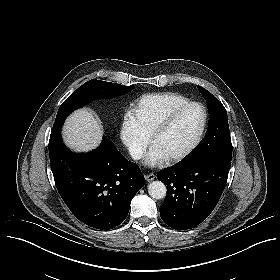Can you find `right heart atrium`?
<instances>
[{"label":"right heart atrium","instance_id":"obj_1","mask_svg":"<svg viewBox=\"0 0 280 280\" xmlns=\"http://www.w3.org/2000/svg\"><path fill=\"white\" fill-rule=\"evenodd\" d=\"M129 143L137 152H143L146 148V140L144 136L139 133H131L129 137Z\"/></svg>","mask_w":280,"mask_h":280}]
</instances>
